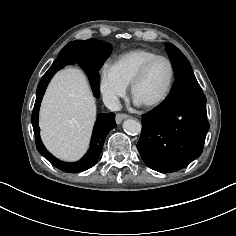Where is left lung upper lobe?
Listing matches in <instances>:
<instances>
[{
  "label": "left lung upper lobe",
  "instance_id": "left-lung-upper-lobe-1",
  "mask_svg": "<svg viewBox=\"0 0 236 236\" xmlns=\"http://www.w3.org/2000/svg\"><path fill=\"white\" fill-rule=\"evenodd\" d=\"M166 52L175 70V78L181 74L192 71L191 65L184 54L174 45L165 43Z\"/></svg>",
  "mask_w": 236,
  "mask_h": 236
}]
</instances>
